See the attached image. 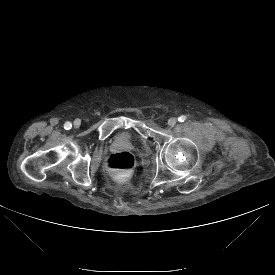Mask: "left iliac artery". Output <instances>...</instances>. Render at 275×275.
<instances>
[{"label":"left iliac artery","instance_id":"left-iliac-artery-1","mask_svg":"<svg viewBox=\"0 0 275 275\" xmlns=\"http://www.w3.org/2000/svg\"><path fill=\"white\" fill-rule=\"evenodd\" d=\"M186 120V116L182 115L178 118V121L184 122Z\"/></svg>","mask_w":275,"mask_h":275}]
</instances>
